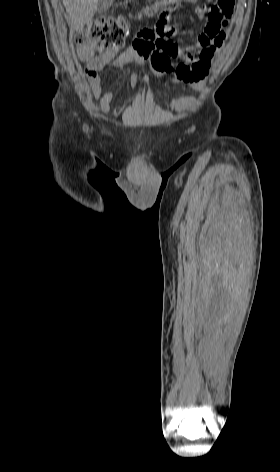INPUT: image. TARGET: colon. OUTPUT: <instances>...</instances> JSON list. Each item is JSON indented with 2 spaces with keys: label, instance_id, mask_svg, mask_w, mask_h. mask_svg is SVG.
<instances>
[{
  "label": "colon",
  "instance_id": "5ec220e1",
  "mask_svg": "<svg viewBox=\"0 0 280 472\" xmlns=\"http://www.w3.org/2000/svg\"><path fill=\"white\" fill-rule=\"evenodd\" d=\"M182 0H162L156 8L160 12V22H167L172 8ZM234 0H217L208 10V22L214 25L224 24L231 17L234 10ZM128 35L127 23L124 18L102 17L88 23L77 33L74 41L79 46L94 49H120Z\"/></svg>",
  "mask_w": 280,
  "mask_h": 472
}]
</instances>
